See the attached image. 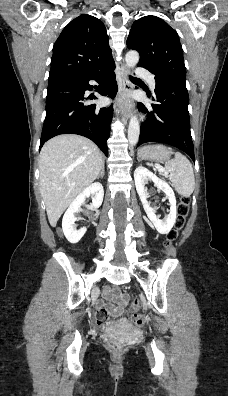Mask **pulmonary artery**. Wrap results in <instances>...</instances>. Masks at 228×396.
Wrapping results in <instances>:
<instances>
[{"instance_id": "e3ab8cb5", "label": "pulmonary artery", "mask_w": 228, "mask_h": 396, "mask_svg": "<svg viewBox=\"0 0 228 396\" xmlns=\"http://www.w3.org/2000/svg\"><path fill=\"white\" fill-rule=\"evenodd\" d=\"M137 75L146 78L149 82L150 87L152 89H155V87H156L155 80H154L152 74L148 70H146L144 68H139L137 70Z\"/></svg>"}]
</instances>
